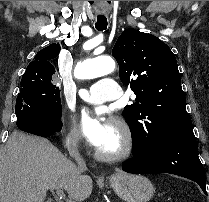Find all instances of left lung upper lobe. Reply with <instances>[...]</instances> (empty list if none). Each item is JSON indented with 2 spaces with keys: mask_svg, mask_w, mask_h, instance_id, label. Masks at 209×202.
<instances>
[{
  "mask_svg": "<svg viewBox=\"0 0 209 202\" xmlns=\"http://www.w3.org/2000/svg\"><path fill=\"white\" fill-rule=\"evenodd\" d=\"M112 55L122 83L136 95V102L122 113L132 144L158 147L167 138L192 130L177 61L169 46L154 35L126 29Z\"/></svg>",
  "mask_w": 209,
  "mask_h": 202,
  "instance_id": "1",
  "label": "left lung upper lobe"
}]
</instances>
